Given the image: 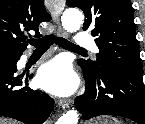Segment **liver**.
Masks as SVG:
<instances>
[{
	"label": "liver",
	"mask_w": 145,
	"mask_h": 124,
	"mask_svg": "<svg viewBox=\"0 0 145 124\" xmlns=\"http://www.w3.org/2000/svg\"><path fill=\"white\" fill-rule=\"evenodd\" d=\"M0 124H14V123H11V122L7 123L6 121H2V120L0 119Z\"/></svg>",
	"instance_id": "6515ba94"
}]
</instances>
